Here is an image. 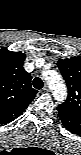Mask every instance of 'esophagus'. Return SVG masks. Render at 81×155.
<instances>
[{"instance_id": "esophagus-1", "label": "esophagus", "mask_w": 81, "mask_h": 155, "mask_svg": "<svg viewBox=\"0 0 81 155\" xmlns=\"http://www.w3.org/2000/svg\"><path fill=\"white\" fill-rule=\"evenodd\" d=\"M42 91H43V92H48V91H49L48 86H44L43 89H42Z\"/></svg>"}]
</instances>
